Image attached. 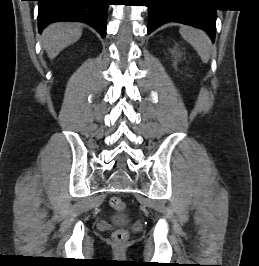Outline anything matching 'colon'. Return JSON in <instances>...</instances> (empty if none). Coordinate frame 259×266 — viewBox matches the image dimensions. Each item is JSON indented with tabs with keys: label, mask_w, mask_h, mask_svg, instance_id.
<instances>
[{
	"label": "colon",
	"mask_w": 259,
	"mask_h": 266,
	"mask_svg": "<svg viewBox=\"0 0 259 266\" xmlns=\"http://www.w3.org/2000/svg\"><path fill=\"white\" fill-rule=\"evenodd\" d=\"M110 206L119 212H123L126 210V204L124 201L118 197L114 196L110 199ZM113 239L117 243H125L129 239V232L125 229H120L114 232Z\"/></svg>",
	"instance_id": "1"
}]
</instances>
